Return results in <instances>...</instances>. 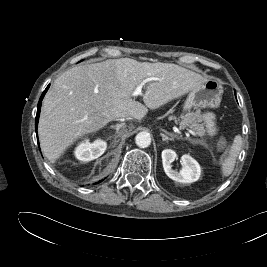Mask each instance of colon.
<instances>
[{"mask_svg": "<svg viewBox=\"0 0 267 267\" xmlns=\"http://www.w3.org/2000/svg\"><path fill=\"white\" fill-rule=\"evenodd\" d=\"M230 146V142H222L221 148L226 152Z\"/></svg>", "mask_w": 267, "mask_h": 267, "instance_id": "5ec220e1", "label": "colon"}]
</instances>
